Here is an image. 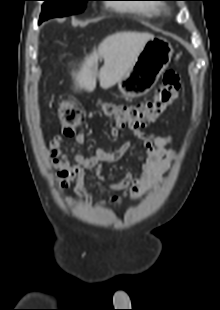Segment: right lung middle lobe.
Returning <instances> with one entry per match:
<instances>
[{
  "label": "right lung middle lobe",
  "mask_w": 220,
  "mask_h": 310,
  "mask_svg": "<svg viewBox=\"0 0 220 310\" xmlns=\"http://www.w3.org/2000/svg\"><path fill=\"white\" fill-rule=\"evenodd\" d=\"M40 20L62 17L82 12L85 3L90 0H44Z\"/></svg>",
  "instance_id": "1"
}]
</instances>
